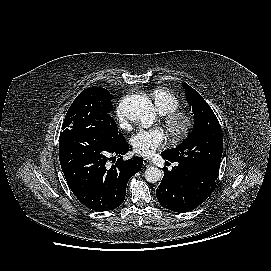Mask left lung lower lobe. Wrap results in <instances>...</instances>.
Wrapping results in <instances>:
<instances>
[{
    "instance_id": "obj_1",
    "label": "left lung lower lobe",
    "mask_w": 271,
    "mask_h": 271,
    "mask_svg": "<svg viewBox=\"0 0 271 271\" xmlns=\"http://www.w3.org/2000/svg\"><path fill=\"white\" fill-rule=\"evenodd\" d=\"M161 156L169 160L167 156ZM163 171L164 177L156 189V196L164 208L175 212H188L198 207L213 192L216 184L215 179L181 164L172 167L171 171L167 168Z\"/></svg>"
}]
</instances>
